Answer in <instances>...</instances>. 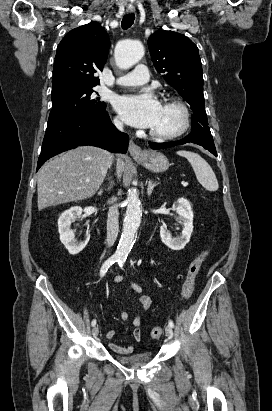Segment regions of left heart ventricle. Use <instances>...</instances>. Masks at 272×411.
Listing matches in <instances>:
<instances>
[{"label":"left heart ventricle","instance_id":"b2bd125f","mask_svg":"<svg viewBox=\"0 0 272 411\" xmlns=\"http://www.w3.org/2000/svg\"><path fill=\"white\" fill-rule=\"evenodd\" d=\"M180 122V111L173 106L163 104L161 105L157 121L152 127V130L160 133H169L176 130L180 125Z\"/></svg>","mask_w":272,"mask_h":411}]
</instances>
